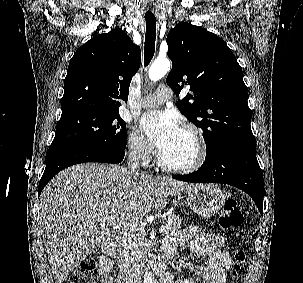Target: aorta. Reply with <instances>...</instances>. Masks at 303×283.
Here are the masks:
<instances>
[{"mask_svg":"<svg viewBox=\"0 0 303 283\" xmlns=\"http://www.w3.org/2000/svg\"><path fill=\"white\" fill-rule=\"evenodd\" d=\"M170 61L166 58L156 59L148 71V76L151 81H158L162 77H164L167 72L170 70ZM143 283H155L154 277L152 273L149 271V268L145 270V274L143 276Z\"/></svg>","mask_w":303,"mask_h":283,"instance_id":"1","label":"aorta"}]
</instances>
